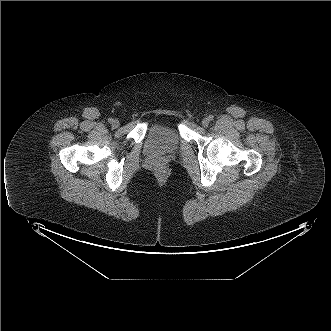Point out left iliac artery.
<instances>
[{"mask_svg": "<svg viewBox=\"0 0 331 331\" xmlns=\"http://www.w3.org/2000/svg\"><path fill=\"white\" fill-rule=\"evenodd\" d=\"M208 119H209L210 121H212V120H213V115H209V116H208Z\"/></svg>", "mask_w": 331, "mask_h": 331, "instance_id": "1", "label": "left iliac artery"}]
</instances>
